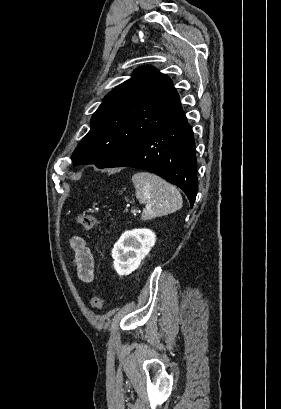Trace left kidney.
Wrapping results in <instances>:
<instances>
[{
  "label": "left kidney",
  "mask_w": 281,
  "mask_h": 409,
  "mask_svg": "<svg viewBox=\"0 0 281 409\" xmlns=\"http://www.w3.org/2000/svg\"><path fill=\"white\" fill-rule=\"evenodd\" d=\"M156 243V235L150 229L125 231L112 249L113 265L118 275H130L141 265Z\"/></svg>",
  "instance_id": "5707ae66"
}]
</instances>
